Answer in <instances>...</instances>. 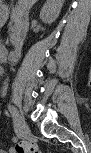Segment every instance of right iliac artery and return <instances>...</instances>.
Returning a JSON list of instances; mask_svg holds the SVG:
<instances>
[{
	"mask_svg": "<svg viewBox=\"0 0 91 153\" xmlns=\"http://www.w3.org/2000/svg\"><path fill=\"white\" fill-rule=\"evenodd\" d=\"M8 110H9V112H10V113L12 114V116H13V120H14V123H15V131H16V134H17L18 138H22L23 135H22V133L20 132V130L18 129L17 124H16V120H15V118H14V107L11 106V105H9V106H8Z\"/></svg>",
	"mask_w": 91,
	"mask_h": 153,
	"instance_id": "obj_1",
	"label": "right iliac artery"
}]
</instances>
